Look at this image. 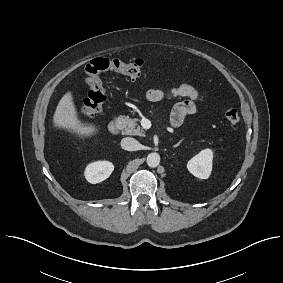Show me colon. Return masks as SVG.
<instances>
[{"label":"colon","mask_w":283,"mask_h":283,"mask_svg":"<svg viewBox=\"0 0 283 283\" xmlns=\"http://www.w3.org/2000/svg\"><path fill=\"white\" fill-rule=\"evenodd\" d=\"M144 62L141 59L123 60L119 58H96L90 61L85 69V81L89 86V92L84 100L81 116L92 118L103 108L107 95L101 74L114 71L131 77H138L143 72ZM226 120L231 124H238L239 113L236 108L229 107L224 111Z\"/></svg>","instance_id":"5ec220e1"}]
</instances>
